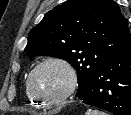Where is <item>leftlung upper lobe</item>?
I'll use <instances>...</instances> for the list:
<instances>
[{"label":"left lung upper lobe","mask_w":131,"mask_h":115,"mask_svg":"<svg viewBox=\"0 0 131 115\" xmlns=\"http://www.w3.org/2000/svg\"><path fill=\"white\" fill-rule=\"evenodd\" d=\"M131 34L113 0H69L47 12L29 33L30 57L53 56L77 72L79 95Z\"/></svg>","instance_id":"obj_1"}]
</instances>
